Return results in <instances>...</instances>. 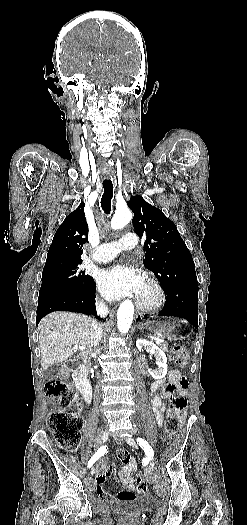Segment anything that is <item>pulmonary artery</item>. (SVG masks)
<instances>
[{"instance_id":"e3ab8cb5","label":"pulmonary artery","mask_w":247,"mask_h":525,"mask_svg":"<svg viewBox=\"0 0 247 525\" xmlns=\"http://www.w3.org/2000/svg\"><path fill=\"white\" fill-rule=\"evenodd\" d=\"M139 243V236H134V232H127L117 241L105 243L97 249H89L88 254L94 257L96 263H102L103 261L111 263L114 257L119 256V250L134 249Z\"/></svg>"}]
</instances>
